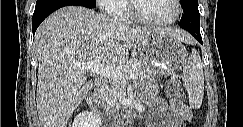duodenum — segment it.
I'll return each instance as SVG.
<instances>
[{
    "label": "duodenum",
    "instance_id": "410a0bca",
    "mask_svg": "<svg viewBox=\"0 0 243 127\" xmlns=\"http://www.w3.org/2000/svg\"><path fill=\"white\" fill-rule=\"evenodd\" d=\"M105 81L101 78H99L96 81V85L94 90L88 95L87 97V104L91 112L94 114L99 115L101 113V95L103 90L105 89ZM140 112V105L135 104L132 106L129 116L132 115L133 118L137 116V114Z\"/></svg>",
    "mask_w": 243,
    "mask_h": 127
}]
</instances>
